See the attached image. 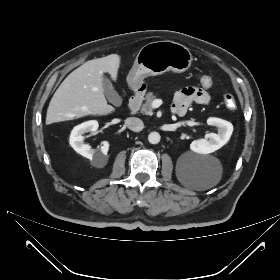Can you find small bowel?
<instances>
[{
  "label": "small bowel",
  "mask_w": 280,
  "mask_h": 280,
  "mask_svg": "<svg viewBox=\"0 0 280 280\" xmlns=\"http://www.w3.org/2000/svg\"><path fill=\"white\" fill-rule=\"evenodd\" d=\"M211 101V95L207 90L201 87H190L175 95L173 109L177 114L183 115L193 103L207 105Z\"/></svg>",
  "instance_id": "small-bowel-1"
}]
</instances>
